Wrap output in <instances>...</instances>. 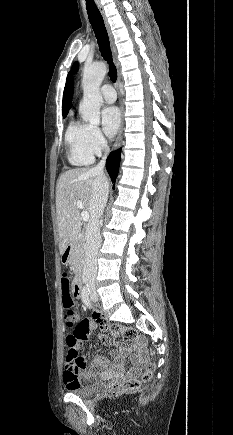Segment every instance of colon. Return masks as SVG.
I'll list each match as a JSON object with an SVG mask.
<instances>
[{
  "instance_id": "1",
  "label": "colon",
  "mask_w": 233,
  "mask_h": 435,
  "mask_svg": "<svg viewBox=\"0 0 233 435\" xmlns=\"http://www.w3.org/2000/svg\"><path fill=\"white\" fill-rule=\"evenodd\" d=\"M62 280L64 283H68L69 275L67 273H63ZM63 304L66 308L64 313L65 323L68 327H74L79 320V315L76 309L74 308L75 306L74 298L71 295L63 296ZM111 333L114 336L121 337L128 342L134 341L138 337V333L135 329L130 327H125L122 325H113L111 327ZM66 357L70 362H74L76 364L83 363L82 358L78 354L76 342L72 339L67 340ZM153 373H154V364L152 362H149L145 368L142 381L143 382L149 381L152 378ZM139 385H140V381L138 379L129 378L122 382H113L108 384L104 389V393L107 396H117L121 394H126L138 388Z\"/></svg>"
}]
</instances>
